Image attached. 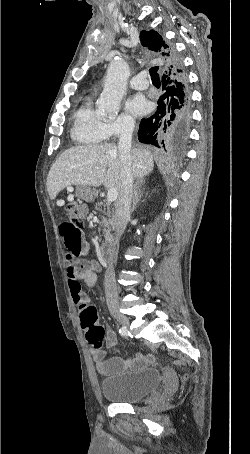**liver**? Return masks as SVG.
I'll return each mask as SVG.
<instances>
[{
  "instance_id": "liver-1",
  "label": "liver",
  "mask_w": 250,
  "mask_h": 454,
  "mask_svg": "<svg viewBox=\"0 0 250 454\" xmlns=\"http://www.w3.org/2000/svg\"><path fill=\"white\" fill-rule=\"evenodd\" d=\"M133 176L140 180L153 170V157L147 149L131 150ZM122 162L115 144L87 145L64 151L52 165L47 176L51 199L68 186L104 185L121 191Z\"/></svg>"
}]
</instances>
